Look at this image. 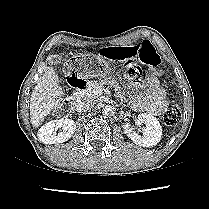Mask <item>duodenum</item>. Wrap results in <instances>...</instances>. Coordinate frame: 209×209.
<instances>
[{
    "label": "duodenum",
    "mask_w": 209,
    "mask_h": 209,
    "mask_svg": "<svg viewBox=\"0 0 209 209\" xmlns=\"http://www.w3.org/2000/svg\"><path fill=\"white\" fill-rule=\"evenodd\" d=\"M70 84L73 88L72 93L67 98L69 106H75L80 98L81 92L87 87V80L77 77L70 78Z\"/></svg>",
    "instance_id": "obj_1"
}]
</instances>
